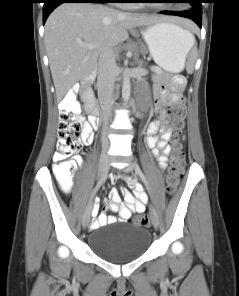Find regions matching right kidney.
<instances>
[{"label": "right kidney", "instance_id": "obj_1", "mask_svg": "<svg viewBox=\"0 0 239 296\" xmlns=\"http://www.w3.org/2000/svg\"><path fill=\"white\" fill-rule=\"evenodd\" d=\"M87 100L89 101V103H93L94 101V94L92 90H89L87 92Z\"/></svg>", "mask_w": 239, "mask_h": 296}]
</instances>
